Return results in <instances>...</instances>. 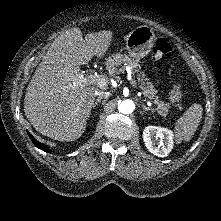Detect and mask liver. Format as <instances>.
Wrapping results in <instances>:
<instances>
[{
  "instance_id": "6515ba94",
  "label": "liver",
  "mask_w": 221,
  "mask_h": 221,
  "mask_svg": "<svg viewBox=\"0 0 221 221\" xmlns=\"http://www.w3.org/2000/svg\"><path fill=\"white\" fill-rule=\"evenodd\" d=\"M113 40L112 31L82 37L79 28L58 36L26 89L24 112L32 126L54 140L73 141L85 131L95 100L91 84L74 86L80 65L102 58Z\"/></svg>"
}]
</instances>
